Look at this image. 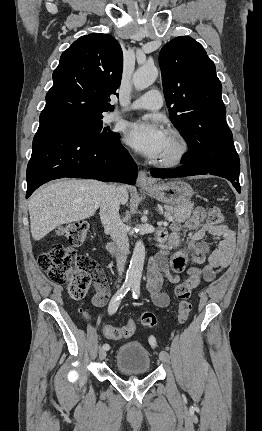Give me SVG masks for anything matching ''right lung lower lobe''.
I'll return each instance as SVG.
<instances>
[{"mask_svg":"<svg viewBox=\"0 0 262 431\" xmlns=\"http://www.w3.org/2000/svg\"><path fill=\"white\" fill-rule=\"evenodd\" d=\"M119 138L101 140L64 127L39 126L27 166L26 198L42 184L63 177L134 184L137 166Z\"/></svg>","mask_w":262,"mask_h":431,"instance_id":"right-lung-lower-lobe-1","label":"right lung lower lobe"}]
</instances>
